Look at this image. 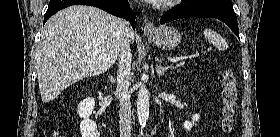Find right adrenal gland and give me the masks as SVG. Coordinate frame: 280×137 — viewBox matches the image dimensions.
Here are the masks:
<instances>
[{
  "label": "right adrenal gland",
  "instance_id": "2a0ac1e0",
  "mask_svg": "<svg viewBox=\"0 0 280 137\" xmlns=\"http://www.w3.org/2000/svg\"><path fill=\"white\" fill-rule=\"evenodd\" d=\"M111 80H112L113 82H115V81H116V80H115V78H112V77H111Z\"/></svg>",
  "mask_w": 280,
  "mask_h": 137
}]
</instances>
